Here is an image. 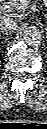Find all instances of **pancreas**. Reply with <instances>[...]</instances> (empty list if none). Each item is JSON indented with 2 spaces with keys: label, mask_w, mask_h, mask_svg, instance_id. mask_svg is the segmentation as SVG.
Instances as JSON below:
<instances>
[{
  "label": "pancreas",
  "mask_w": 47,
  "mask_h": 129,
  "mask_svg": "<svg viewBox=\"0 0 47 129\" xmlns=\"http://www.w3.org/2000/svg\"><path fill=\"white\" fill-rule=\"evenodd\" d=\"M29 0H10L11 5L15 10L24 12V9L28 7Z\"/></svg>",
  "instance_id": "cf45deb5"
}]
</instances>
